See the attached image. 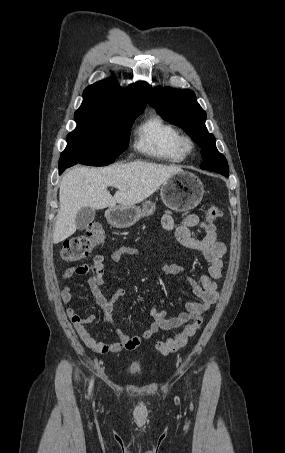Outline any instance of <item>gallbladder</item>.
<instances>
[{"label": "gallbladder", "mask_w": 285, "mask_h": 453, "mask_svg": "<svg viewBox=\"0 0 285 453\" xmlns=\"http://www.w3.org/2000/svg\"><path fill=\"white\" fill-rule=\"evenodd\" d=\"M95 218V210L90 207H83L76 216L78 230H84Z\"/></svg>", "instance_id": "1"}]
</instances>
